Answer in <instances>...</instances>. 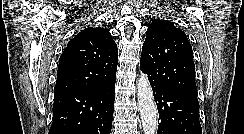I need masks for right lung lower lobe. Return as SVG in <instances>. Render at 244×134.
<instances>
[{
	"instance_id": "right-lung-lower-lobe-1",
	"label": "right lung lower lobe",
	"mask_w": 244,
	"mask_h": 134,
	"mask_svg": "<svg viewBox=\"0 0 244 134\" xmlns=\"http://www.w3.org/2000/svg\"><path fill=\"white\" fill-rule=\"evenodd\" d=\"M116 77L93 88L54 95L49 134H110Z\"/></svg>"
}]
</instances>
